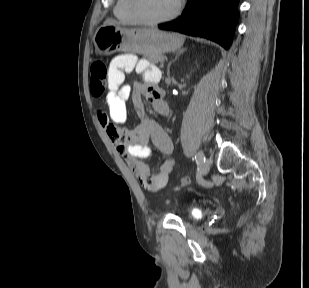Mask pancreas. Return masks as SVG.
<instances>
[{
	"label": "pancreas",
	"mask_w": 309,
	"mask_h": 288,
	"mask_svg": "<svg viewBox=\"0 0 309 288\" xmlns=\"http://www.w3.org/2000/svg\"><path fill=\"white\" fill-rule=\"evenodd\" d=\"M147 58L152 64H157L159 62L162 63L164 60L163 55H153V56H148Z\"/></svg>",
	"instance_id": "obj_1"
}]
</instances>
